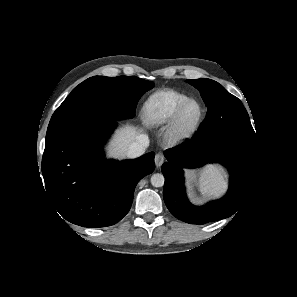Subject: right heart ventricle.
<instances>
[{"label": "right heart ventricle", "mask_w": 297, "mask_h": 297, "mask_svg": "<svg viewBox=\"0 0 297 297\" xmlns=\"http://www.w3.org/2000/svg\"><path fill=\"white\" fill-rule=\"evenodd\" d=\"M188 99L189 96L175 90L158 91L144 104L143 119L150 125H165L170 122L178 107Z\"/></svg>", "instance_id": "e07e8e85"}]
</instances>
